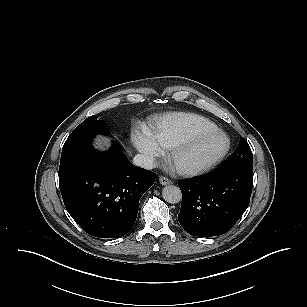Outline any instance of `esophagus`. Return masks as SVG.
<instances>
[{"instance_id": "obj_1", "label": "esophagus", "mask_w": 307, "mask_h": 307, "mask_svg": "<svg viewBox=\"0 0 307 307\" xmlns=\"http://www.w3.org/2000/svg\"><path fill=\"white\" fill-rule=\"evenodd\" d=\"M159 182L162 185H170V184H172V181L170 179H168L166 177H163V176L159 177Z\"/></svg>"}]
</instances>
